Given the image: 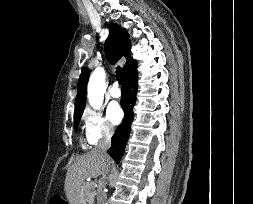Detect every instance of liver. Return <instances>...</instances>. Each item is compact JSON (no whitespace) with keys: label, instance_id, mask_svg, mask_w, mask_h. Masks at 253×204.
<instances>
[{"label":"liver","instance_id":"liver-1","mask_svg":"<svg viewBox=\"0 0 253 204\" xmlns=\"http://www.w3.org/2000/svg\"><path fill=\"white\" fill-rule=\"evenodd\" d=\"M111 159L104 156L97 148L79 156L68 168L65 179V191L70 204H80L82 185L86 178H96L103 175Z\"/></svg>","mask_w":253,"mask_h":204}]
</instances>
